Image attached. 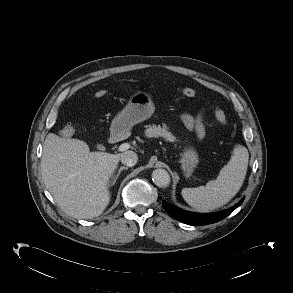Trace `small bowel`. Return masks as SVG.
I'll list each match as a JSON object with an SVG mask.
<instances>
[{
    "mask_svg": "<svg viewBox=\"0 0 293 293\" xmlns=\"http://www.w3.org/2000/svg\"><path fill=\"white\" fill-rule=\"evenodd\" d=\"M184 124L191 130H193L199 139L204 136V125L202 121V115H197L196 117L190 114H184L182 116Z\"/></svg>",
    "mask_w": 293,
    "mask_h": 293,
    "instance_id": "c3829d8e",
    "label": "small bowel"
}]
</instances>
